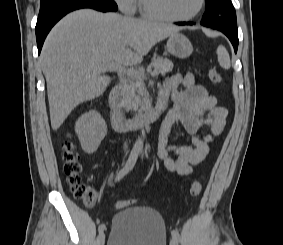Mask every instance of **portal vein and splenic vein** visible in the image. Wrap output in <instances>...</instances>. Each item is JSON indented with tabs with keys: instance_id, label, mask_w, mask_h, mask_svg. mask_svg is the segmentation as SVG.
<instances>
[{
	"instance_id": "1",
	"label": "portal vein and splenic vein",
	"mask_w": 283,
	"mask_h": 245,
	"mask_svg": "<svg viewBox=\"0 0 283 245\" xmlns=\"http://www.w3.org/2000/svg\"><path fill=\"white\" fill-rule=\"evenodd\" d=\"M104 68L109 71H116L119 73L127 74L128 76L133 77V78H143V79L145 78V76L142 73H140L138 70L126 68L124 65L118 64L116 62H111L108 65H106ZM151 75L158 76L159 72L157 70H154L151 73Z\"/></svg>"
}]
</instances>
